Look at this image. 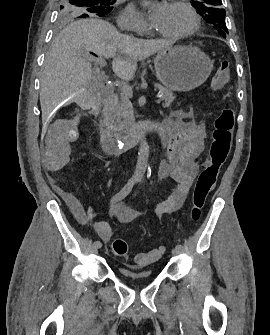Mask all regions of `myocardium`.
<instances>
[{
  "label": "myocardium",
  "mask_w": 270,
  "mask_h": 335,
  "mask_svg": "<svg viewBox=\"0 0 270 335\" xmlns=\"http://www.w3.org/2000/svg\"><path fill=\"white\" fill-rule=\"evenodd\" d=\"M175 7L184 9L185 11L188 12V14L192 18V26L188 30L182 33L173 34L170 37L181 39V38L189 37L193 35L195 32H197L201 26V19L199 15L197 14V12L195 11V9L193 8V6L189 3H177L175 4ZM173 78H180V77H173ZM200 78H204V77H200Z\"/></svg>",
  "instance_id": "f54148a6"
}]
</instances>
